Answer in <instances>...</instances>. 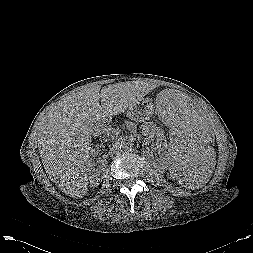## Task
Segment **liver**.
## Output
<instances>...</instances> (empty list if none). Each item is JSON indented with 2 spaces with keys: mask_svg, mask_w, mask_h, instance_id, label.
Here are the masks:
<instances>
[{
  "mask_svg": "<svg viewBox=\"0 0 253 253\" xmlns=\"http://www.w3.org/2000/svg\"><path fill=\"white\" fill-rule=\"evenodd\" d=\"M152 89L138 81L102 89L93 85L66 97L41 121L40 157L49 178L62 192L72 198L87 194L86 163L93 127L132 108Z\"/></svg>",
  "mask_w": 253,
  "mask_h": 253,
  "instance_id": "liver-1",
  "label": "liver"
}]
</instances>
